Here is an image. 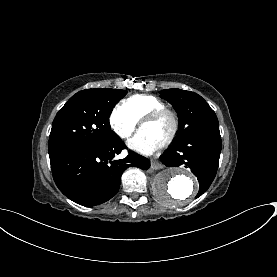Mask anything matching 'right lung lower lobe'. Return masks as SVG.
<instances>
[{
  "mask_svg": "<svg viewBox=\"0 0 277 277\" xmlns=\"http://www.w3.org/2000/svg\"><path fill=\"white\" fill-rule=\"evenodd\" d=\"M125 146L119 137L98 145L69 147L50 156L51 170L59 190L70 200L95 206L111 199L120 188L122 173L128 167L147 170V158L130 153L115 160Z\"/></svg>",
  "mask_w": 277,
  "mask_h": 277,
  "instance_id": "right-lung-lower-lobe-1",
  "label": "right lung lower lobe"
}]
</instances>
